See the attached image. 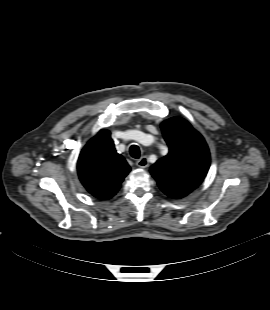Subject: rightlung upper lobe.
Wrapping results in <instances>:
<instances>
[{"label": "right lung upper lobe", "instance_id": "cb5924a9", "mask_svg": "<svg viewBox=\"0 0 270 310\" xmlns=\"http://www.w3.org/2000/svg\"><path fill=\"white\" fill-rule=\"evenodd\" d=\"M77 170L86 190L98 199L107 200L117 193L131 168L116 152L110 132L102 129L81 151Z\"/></svg>", "mask_w": 270, "mask_h": 310}]
</instances>
